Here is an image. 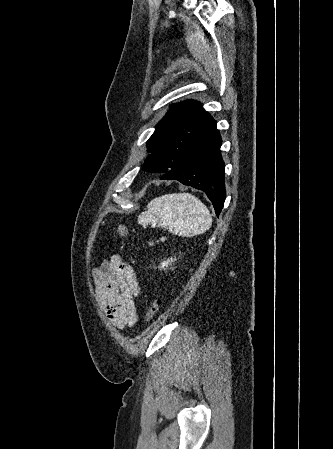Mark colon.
I'll return each instance as SVG.
<instances>
[{"label": "colon", "mask_w": 333, "mask_h": 449, "mask_svg": "<svg viewBox=\"0 0 333 449\" xmlns=\"http://www.w3.org/2000/svg\"><path fill=\"white\" fill-rule=\"evenodd\" d=\"M116 229H117L118 234L121 237L127 236L128 229L124 224H118ZM160 306H161V300L156 299V298L151 300V302L147 308V311H146V320L147 321H152L155 318Z\"/></svg>", "instance_id": "5ec220e1"}]
</instances>
